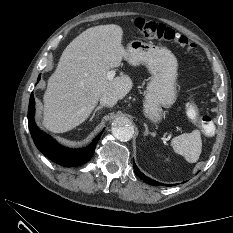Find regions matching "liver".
<instances>
[{
  "mask_svg": "<svg viewBox=\"0 0 233 233\" xmlns=\"http://www.w3.org/2000/svg\"><path fill=\"white\" fill-rule=\"evenodd\" d=\"M123 30L115 24L88 28L63 51L43 97V125L54 133L72 130L91 114L104 93L123 99L132 88L127 75L107 79V72L128 60Z\"/></svg>",
  "mask_w": 233,
  "mask_h": 233,
  "instance_id": "6515ba94",
  "label": "liver"
}]
</instances>
